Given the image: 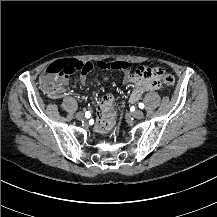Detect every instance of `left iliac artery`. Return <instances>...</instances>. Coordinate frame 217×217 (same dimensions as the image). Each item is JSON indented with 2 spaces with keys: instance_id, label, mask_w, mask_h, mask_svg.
Here are the masks:
<instances>
[{
  "instance_id": "obj_1",
  "label": "left iliac artery",
  "mask_w": 217,
  "mask_h": 217,
  "mask_svg": "<svg viewBox=\"0 0 217 217\" xmlns=\"http://www.w3.org/2000/svg\"><path fill=\"white\" fill-rule=\"evenodd\" d=\"M139 108L143 109L144 108V104L143 103H139Z\"/></svg>"
}]
</instances>
